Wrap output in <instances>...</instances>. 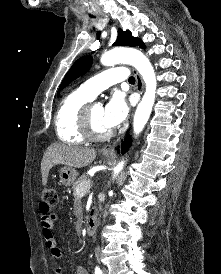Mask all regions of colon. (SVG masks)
<instances>
[{
	"instance_id": "1",
	"label": "colon",
	"mask_w": 221,
	"mask_h": 274,
	"mask_svg": "<svg viewBox=\"0 0 221 274\" xmlns=\"http://www.w3.org/2000/svg\"><path fill=\"white\" fill-rule=\"evenodd\" d=\"M41 198L44 203L53 206L58 202V192L55 188L46 187L42 190Z\"/></svg>"
}]
</instances>
